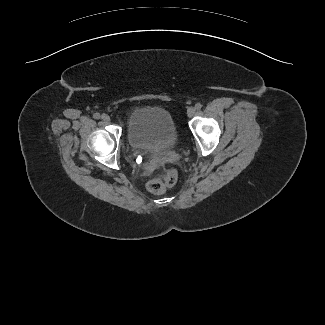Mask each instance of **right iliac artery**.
Returning <instances> with one entry per match:
<instances>
[{
  "label": "right iliac artery",
  "mask_w": 325,
  "mask_h": 325,
  "mask_svg": "<svg viewBox=\"0 0 325 325\" xmlns=\"http://www.w3.org/2000/svg\"><path fill=\"white\" fill-rule=\"evenodd\" d=\"M93 117H94V119H99V118H100V114H99V113H95V114L93 115Z\"/></svg>",
  "instance_id": "obj_1"
}]
</instances>
